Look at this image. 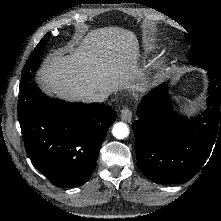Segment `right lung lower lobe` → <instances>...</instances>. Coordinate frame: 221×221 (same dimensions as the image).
<instances>
[{
    "mask_svg": "<svg viewBox=\"0 0 221 221\" xmlns=\"http://www.w3.org/2000/svg\"><path fill=\"white\" fill-rule=\"evenodd\" d=\"M117 117L107 105L68 103L44 95L35 83L21 89L18 119L27 154L54 186L83 185Z\"/></svg>",
    "mask_w": 221,
    "mask_h": 221,
    "instance_id": "98d812e1",
    "label": "right lung lower lobe"
}]
</instances>
